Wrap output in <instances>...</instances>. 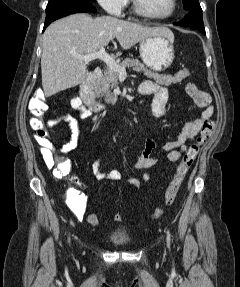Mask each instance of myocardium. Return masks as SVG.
Instances as JSON below:
<instances>
[{"mask_svg": "<svg viewBox=\"0 0 240 287\" xmlns=\"http://www.w3.org/2000/svg\"><path fill=\"white\" fill-rule=\"evenodd\" d=\"M132 2L137 14L154 21H164L171 18L176 13L178 7L177 0H171V8L166 14L154 15L142 6L141 0H132Z\"/></svg>", "mask_w": 240, "mask_h": 287, "instance_id": "obj_1", "label": "myocardium"}]
</instances>
